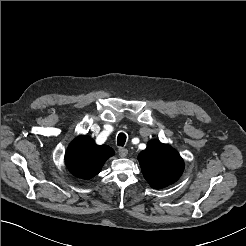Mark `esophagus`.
<instances>
[{"label": "esophagus", "mask_w": 246, "mask_h": 246, "mask_svg": "<svg viewBox=\"0 0 246 246\" xmlns=\"http://www.w3.org/2000/svg\"><path fill=\"white\" fill-rule=\"evenodd\" d=\"M118 153H119L120 157H126L128 154V150L126 148L120 147L118 149Z\"/></svg>", "instance_id": "esophagus-1"}]
</instances>
